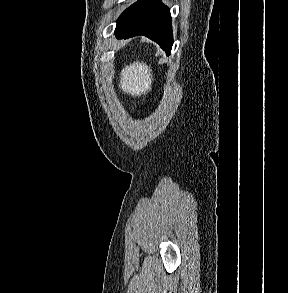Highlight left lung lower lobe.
I'll use <instances>...</instances> for the list:
<instances>
[{"instance_id": "1", "label": "left lung lower lobe", "mask_w": 288, "mask_h": 293, "mask_svg": "<svg viewBox=\"0 0 288 293\" xmlns=\"http://www.w3.org/2000/svg\"><path fill=\"white\" fill-rule=\"evenodd\" d=\"M117 38L145 35L170 55L173 45L170 9L161 0H138L118 18Z\"/></svg>"}]
</instances>
